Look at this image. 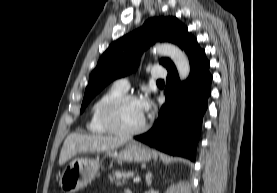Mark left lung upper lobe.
Returning a JSON list of instances; mask_svg holds the SVG:
<instances>
[{
    "label": "left lung upper lobe",
    "mask_w": 277,
    "mask_h": 193,
    "mask_svg": "<svg viewBox=\"0 0 277 193\" xmlns=\"http://www.w3.org/2000/svg\"><path fill=\"white\" fill-rule=\"evenodd\" d=\"M192 38L177 18L160 17L149 19L138 30L113 42L90 75L81 112L108 83L135 71L142 52L155 41L172 42L184 49ZM160 64L166 68L173 65L168 58H162Z\"/></svg>",
    "instance_id": "obj_1"
}]
</instances>
